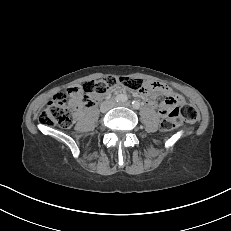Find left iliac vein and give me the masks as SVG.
<instances>
[{"instance_id":"4c4485c4","label":"left iliac vein","mask_w":231,"mask_h":231,"mask_svg":"<svg viewBox=\"0 0 231 231\" xmlns=\"http://www.w3.org/2000/svg\"><path fill=\"white\" fill-rule=\"evenodd\" d=\"M116 106L129 107L130 106V102H128V101L120 102V103H117Z\"/></svg>"}]
</instances>
